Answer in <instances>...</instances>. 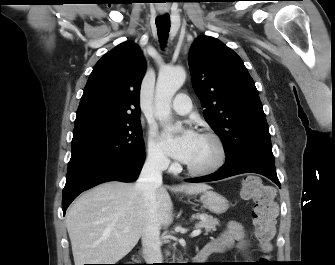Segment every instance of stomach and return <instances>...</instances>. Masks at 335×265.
Here are the masks:
<instances>
[{"label":"stomach","instance_id":"0dacf381","mask_svg":"<svg viewBox=\"0 0 335 265\" xmlns=\"http://www.w3.org/2000/svg\"><path fill=\"white\" fill-rule=\"evenodd\" d=\"M200 199L204 207L215 214H222L229 208L228 200L215 191H204Z\"/></svg>","mask_w":335,"mask_h":265}]
</instances>
